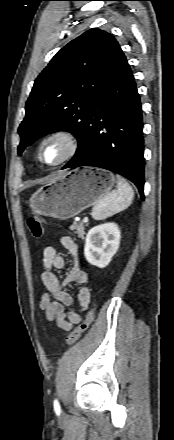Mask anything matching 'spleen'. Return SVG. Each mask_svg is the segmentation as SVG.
I'll use <instances>...</instances> for the list:
<instances>
[{"mask_svg": "<svg viewBox=\"0 0 174 440\" xmlns=\"http://www.w3.org/2000/svg\"><path fill=\"white\" fill-rule=\"evenodd\" d=\"M117 190L107 193L97 201L92 209L95 220H104L128 208L134 198V191L129 183L117 175Z\"/></svg>", "mask_w": 174, "mask_h": 440, "instance_id": "spleen-1", "label": "spleen"}]
</instances>
